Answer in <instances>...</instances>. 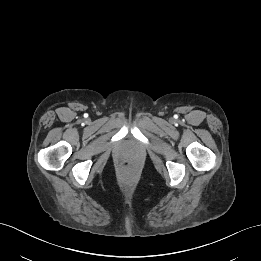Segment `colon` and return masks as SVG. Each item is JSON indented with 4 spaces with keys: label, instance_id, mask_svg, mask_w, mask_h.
<instances>
[{
    "label": "colon",
    "instance_id": "1",
    "mask_svg": "<svg viewBox=\"0 0 261 261\" xmlns=\"http://www.w3.org/2000/svg\"><path fill=\"white\" fill-rule=\"evenodd\" d=\"M134 171H135V167L133 165H131V164L126 163L123 166V172L125 174H132Z\"/></svg>",
    "mask_w": 261,
    "mask_h": 261
}]
</instances>
